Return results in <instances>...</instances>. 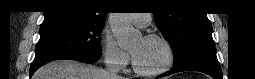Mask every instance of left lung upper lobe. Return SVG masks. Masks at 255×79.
Returning <instances> with one entry per match:
<instances>
[{
	"label": "left lung upper lobe",
	"instance_id": "1",
	"mask_svg": "<svg viewBox=\"0 0 255 79\" xmlns=\"http://www.w3.org/2000/svg\"><path fill=\"white\" fill-rule=\"evenodd\" d=\"M161 1V5L167 4ZM154 18L158 29L171 44L175 66L206 54H216L212 27L205 13L182 10H157Z\"/></svg>",
	"mask_w": 255,
	"mask_h": 79
}]
</instances>
